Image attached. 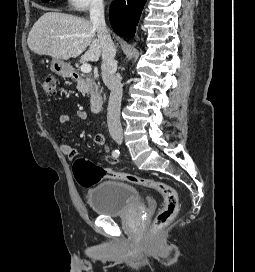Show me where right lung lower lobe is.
Masks as SVG:
<instances>
[{
	"mask_svg": "<svg viewBox=\"0 0 255 272\" xmlns=\"http://www.w3.org/2000/svg\"><path fill=\"white\" fill-rule=\"evenodd\" d=\"M145 2L146 0L112 2L109 17L113 30L121 36L133 37Z\"/></svg>",
	"mask_w": 255,
	"mask_h": 272,
	"instance_id": "obj_1",
	"label": "right lung lower lobe"
}]
</instances>
